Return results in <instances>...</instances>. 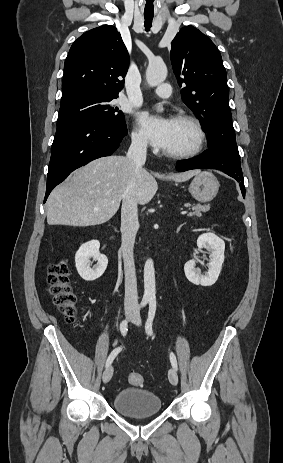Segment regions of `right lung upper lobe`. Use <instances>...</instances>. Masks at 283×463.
Returning <instances> with one entry per match:
<instances>
[{"label":"right lung upper lobe","instance_id":"1","mask_svg":"<svg viewBox=\"0 0 283 463\" xmlns=\"http://www.w3.org/2000/svg\"><path fill=\"white\" fill-rule=\"evenodd\" d=\"M128 65V51L114 26L87 31L65 60L61 106L88 96L118 97Z\"/></svg>","mask_w":283,"mask_h":463}]
</instances>
